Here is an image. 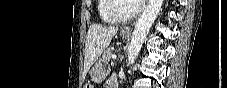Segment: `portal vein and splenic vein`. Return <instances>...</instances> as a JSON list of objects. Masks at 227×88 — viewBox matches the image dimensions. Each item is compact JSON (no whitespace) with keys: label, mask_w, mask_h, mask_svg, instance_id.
Instances as JSON below:
<instances>
[{"label":"portal vein and splenic vein","mask_w":227,"mask_h":88,"mask_svg":"<svg viewBox=\"0 0 227 88\" xmlns=\"http://www.w3.org/2000/svg\"><path fill=\"white\" fill-rule=\"evenodd\" d=\"M117 58L116 55H112V59L115 60Z\"/></svg>","instance_id":"obj_1"}]
</instances>
